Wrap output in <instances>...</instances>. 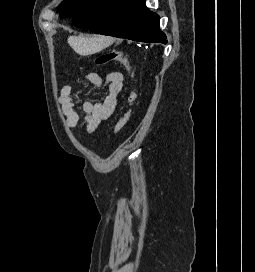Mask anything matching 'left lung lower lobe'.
I'll return each mask as SVG.
<instances>
[{"mask_svg":"<svg viewBox=\"0 0 255 272\" xmlns=\"http://www.w3.org/2000/svg\"><path fill=\"white\" fill-rule=\"evenodd\" d=\"M72 22L96 34L167 43L159 16L146 7L145 0H90L72 15Z\"/></svg>","mask_w":255,"mask_h":272,"instance_id":"1","label":"left lung lower lobe"}]
</instances>
